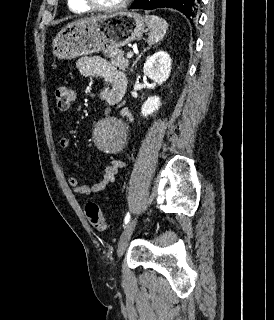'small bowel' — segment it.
I'll return each instance as SVG.
<instances>
[{"instance_id": "c3829d8e", "label": "small bowel", "mask_w": 274, "mask_h": 320, "mask_svg": "<svg viewBox=\"0 0 274 320\" xmlns=\"http://www.w3.org/2000/svg\"><path fill=\"white\" fill-rule=\"evenodd\" d=\"M77 67L81 75L87 77L99 76L105 81L104 95L108 105H115L122 100L126 92L127 80L120 70L97 56L81 57L77 61ZM123 116L125 118L129 117L126 111L123 112ZM59 146L63 149L68 148L69 140L67 138L60 139ZM124 165L121 160L111 159L104 166L98 180L92 185L82 184L78 178L71 175L66 176V182L74 195L88 196L99 193L115 180L119 169L123 168Z\"/></svg>"}]
</instances>
